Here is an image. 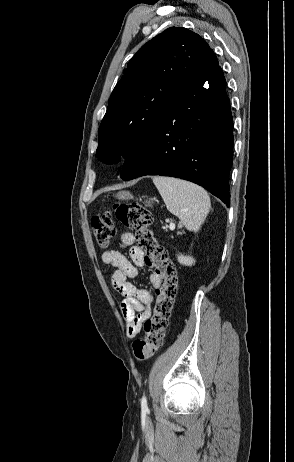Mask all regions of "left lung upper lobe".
Listing matches in <instances>:
<instances>
[{
    "mask_svg": "<svg viewBox=\"0 0 294 462\" xmlns=\"http://www.w3.org/2000/svg\"><path fill=\"white\" fill-rule=\"evenodd\" d=\"M218 66L196 33L171 27L141 47L116 84L98 131L97 155L106 163L127 159L151 134L177 96Z\"/></svg>",
    "mask_w": 294,
    "mask_h": 462,
    "instance_id": "obj_1",
    "label": "left lung upper lobe"
}]
</instances>
